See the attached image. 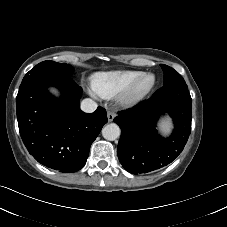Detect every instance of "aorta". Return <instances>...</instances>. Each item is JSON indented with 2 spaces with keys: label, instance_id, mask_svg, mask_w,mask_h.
Listing matches in <instances>:
<instances>
[{
  "label": "aorta",
  "instance_id": "aorta-1",
  "mask_svg": "<svg viewBox=\"0 0 227 227\" xmlns=\"http://www.w3.org/2000/svg\"><path fill=\"white\" fill-rule=\"evenodd\" d=\"M102 136L104 139L114 141L120 136V128L115 123L107 124L102 129Z\"/></svg>",
  "mask_w": 227,
  "mask_h": 227
}]
</instances>
